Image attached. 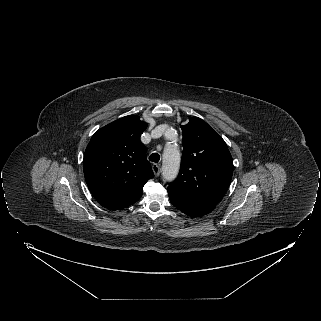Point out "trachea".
<instances>
[{
	"label": "trachea",
	"mask_w": 321,
	"mask_h": 321,
	"mask_svg": "<svg viewBox=\"0 0 321 321\" xmlns=\"http://www.w3.org/2000/svg\"><path fill=\"white\" fill-rule=\"evenodd\" d=\"M149 160L158 163L160 160V155L158 153H153L149 156Z\"/></svg>",
	"instance_id": "trachea-1"
}]
</instances>
